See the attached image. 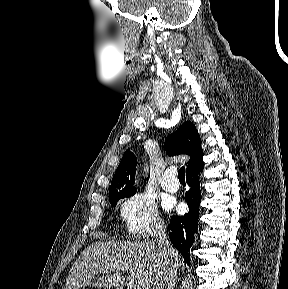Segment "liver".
<instances>
[{
  "label": "liver",
  "mask_w": 288,
  "mask_h": 289,
  "mask_svg": "<svg viewBox=\"0 0 288 289\" xmlns=\"http://www.w3.org/2000/svg\"><path fill=\"white\" fill-rule=\"evenodd\" d=\"M174 259L180 255L174 248ZM163 261L154 242H94L81 252L70 268L64 289L95 287L122 289H163ZM127 272L125 278L121 272ZM98 273L105 274L94 280Z\"/></svg>",
  "instance_id": "obj_1"
}]
</instances>
